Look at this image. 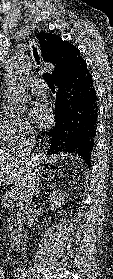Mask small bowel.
I'll return each instance as SVG.
<instances>
[{"label":"small bowel","mask_w":113,"mask_h":279,"mask_svg":"<svg viewBox=\"0 0 113 279\" xmlns=\"http://www.w3.org/2000/svg\"><path fill=\"white\" fill-rule=\"evenodd\" d=\"M5 276H4V272L3 270L0 268V279H4Z\"/></svg>","instance_id":"small-bowel-1"}]
</instances>
